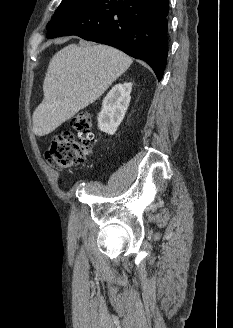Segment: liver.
Instances as JSON below:
<instances>
[{"label":"liver","mask_w":233,"mask_h":328,"mask_svg":"<svg viewBox=\"0 0 233 328\" xmlns=\"http://www.w3.org/2000/svg\"><path fill=\"white\" fill-rule=\"evenodd\" d=\"M131 63L106 45L71 44L57 52L44 78V99L33 113L35 135H48L96 101Z\"/></svg>","instance_id":"6515ba94"}]
</instances>
